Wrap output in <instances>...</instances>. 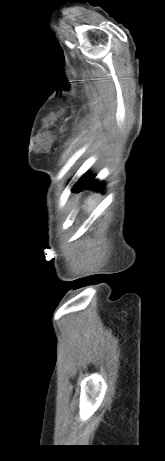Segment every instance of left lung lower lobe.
Segmentation results:
<instances>
[{"label":"left lung lower lobe","instance_id":"1","mask_svg":"<svg viewBox=\"0 0 165 461\" xmlns=\"http://www.w3.org/2000/svg\"><path fill=\"white\" fill-rule=\"evenodd\" d=\"M104 184L94 180V176L83 175L73 186L72 191L79 192L85 188H94L96 190H102Z\"/></svg>","mask_w":165,"mask_h":461}]
</instances>
